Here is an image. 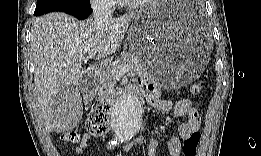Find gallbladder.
Instances as JSON below:
<instances>
[{
    "label": "gallbladder",
    "mask_w": 261,
    "mask_h": 156,
    "mask_svg": "<svg viewBox=\"0 0 261 156\" xmlns=\"http://www.w3.org/2000/svg\"><path fill=\"white\" fill-rule=\"evenodd\" d=\"M61 93L58 103L54 104L53 113H51L52 127L59 131L73 129L82 120L83 104L80 93L72 90H64Z\"/></svg>",
    "instance_id": "obj_1"
}]
</instances>
